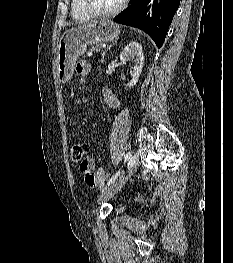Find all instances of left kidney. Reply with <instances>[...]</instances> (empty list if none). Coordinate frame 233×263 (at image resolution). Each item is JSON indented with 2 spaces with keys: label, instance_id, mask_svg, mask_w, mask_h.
I'll use <instances>...</instances> for the list:
<instances>
[{
  "label": "left kidney",
  "instance_id": "5707ae66",
  "mask_svg": "<svg viewBox=\"0 0 233 263\" xmlns=\"http://www.w3.org/2000/svg\"><path fill=\"white\" fill-rule=\"evenodd\" d=\"M120 60L124 64L129 61L134 62L132 80L127 84L128 87H133L138 82L144 63V55L141 45L136 41L130 42L120 53Z\"/></svg>",
  "mask_w": 233,
  "mask_h": 263
}]
</instances>
